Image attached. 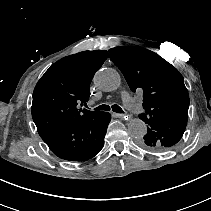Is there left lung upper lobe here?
I'll use <instances>...</instances> for the list:
<instances>
[{
    "instance_id": "left-lung-upper-lobe-1",
    "label": "left lung upper lobe",
    "mask_w": 211,
    "mask_h": 211,
    "mask_svg": "<svg viewBox=\"0 0 211 211\" xmlns=\"http://www.w3.org/2000/svg\"><path fill=\"white\" fill-rule=\"evenodd\" d=\"M110 58L123 73L133 92L143 93L147 124L141 146L163 152L182 138L188 120L189 94L180 72L153 51L120 46L109 50Z\"/></svg>"
}]
</instances>
